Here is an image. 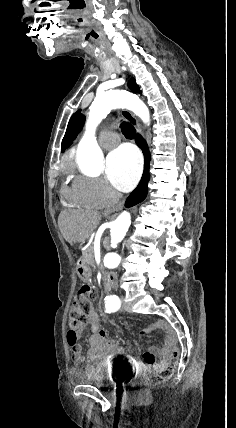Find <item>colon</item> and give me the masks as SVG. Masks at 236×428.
Returning <instances> with one entry per match:
<instances>
[{
  "label": "colon",
  "mask_w": 236,
  "mask_h": 428,
  "mask_svg": "<svg viewBox=\"0 0 236 428\" xmlns=\"http://www.w3.org/2000/svg\"><path fill=\"white\" fill-rule=\"evenodd\" d=\"M93 290L88 285H83L76 293L73 306L70 310V329L68 331V342L74 346L77 342L76 330L86 320V312L89 308L90 298ZM145 331V330H144ZM169 343V359L158 371L147 375L144 384L147 387L157 386L167 381L174 373L175 367L180 358L178 346L172 342Z\"/></svg>",
  "instance_id": "1"
}]
</instances>
